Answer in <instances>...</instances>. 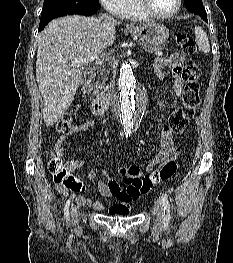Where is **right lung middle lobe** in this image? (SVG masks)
I'll list each match as a JSON object with an SVG mask.
<instances>
[{
	"mask_svg": "<svg viewBox=\"0 0 233 263\" xmlns=\"http://www.w3.org/2000/svg\"><path fill=\"white\" fill-rule=\"evenodd\" d=\"M82 5L92 9L100 8L98 0H44L40 22L51 21L63 15L75 14Z\"/></svg>",
	"mask_w": 233,
	"mask_h": 263,
	"instance_id": "1",
	"label": "right lung middle lobe"
}]
</instances>
